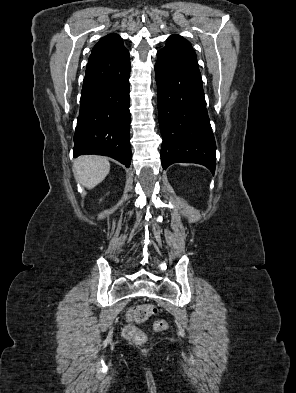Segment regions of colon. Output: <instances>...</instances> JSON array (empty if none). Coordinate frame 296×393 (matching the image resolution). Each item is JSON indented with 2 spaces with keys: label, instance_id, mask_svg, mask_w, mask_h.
<instances>
[{
  "label": "colon",
  "instance_id": "1",
  "mask_svg": "<svg viewBox=\"0 0 296 393\" xmlns=\"http://www.w3.org/2000/svg\"><path fill=\"white\" fill-rule=\"evenodd\" d=\"M156 312H157V307L153 304H139L130 307L126 311V319L129 322L142 323L147 321ZM167 326H168L167 322L161 320V321H157L154 324V329L159 331V330L166 329ZM124 335L130 341L137 344L144 343L147 340V335L144 331L131 325L125 327Z\"/></svg>",
  "mask_w": 296,
  "mask_h": 393
}]
</instances>
